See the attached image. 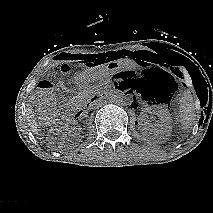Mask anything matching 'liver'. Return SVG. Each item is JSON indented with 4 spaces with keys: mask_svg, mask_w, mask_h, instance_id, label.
<instances>
[{
    "mask_svg": "<svg viewBox=\"0 0 213 213\" xmlns=\"http://www.w3.org/2000/svg\"><path fill=\"white\" fill-rule=\"evenodd\" d=\"M26 118H27V122H28V125L30 127V129L32 130V132L34 134H37V131H38V124L36 122V118L33 114V110L31 107H28L27 108V111H26Z\"/></svg>",
    "mask_w": 213,
    "mask_h": 213,
    "instance_id": "6515ba94",
    "label": "liver"
}]
</instances>
